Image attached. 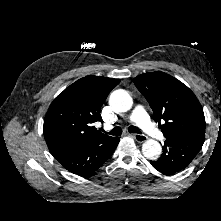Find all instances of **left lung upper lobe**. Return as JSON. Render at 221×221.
I'll return each instance as SVG.
<instances>
[{"label": "left lung upper lobe", "mask_w": 221, "mask_h": 221, "mask_svg": "<svg viewBox=\"0 0 221 221\" xmlns=\"http://www.w3.org/2000/svg\"><path fill=\"white\" fill-rule=\"evenodd\" d=\"M134 84L147 99L166 139L205 135L203 109L194 93L181 81L161 71L141 74ZM164 120L161 125L160 121Z\"/></svg>", "instance_id": "1"}]
</instances>
